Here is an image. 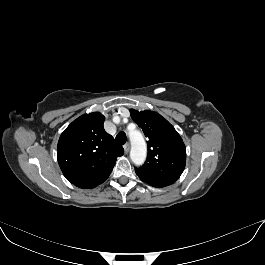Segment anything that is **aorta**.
Here are the masks:
<instances>
[{
	"mask_svg": "<svg viewBox=\"0 0 265 265\" xmlns=\"http://www.w3.org/2000/svg\"><path fill=\"white\" fill-rule=\"evenodd\" d=\"M131 142L130 159L135 165H142L146 159L147 146L143 135L138 130L129 132Z\"/></svg>",
	"mask_w": 265,
	"mask_h": 265,
	"instance_id": "1",
	"label": "aorta"
}]
</instances>
